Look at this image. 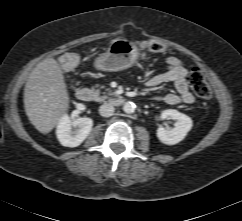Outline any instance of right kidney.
<instances>
[{
	"instance_id": "ca27d5eb",
	"label": "right kidney",
	"mask_w": 242,
	"mask_h": 221,
	"mask_svg": "<svg viewBox=\"0 0 242 221\" xmlns=\"http://www.w3.org/2000/svg\"><path fill=\"white\" fill-rule=\"evenodd\" d=\"M93 121L90 118L71 120L64 114L57 125L56 134L59 142L66 147L79 146L90 134Z\"/></svg>"
}]
</instances>
